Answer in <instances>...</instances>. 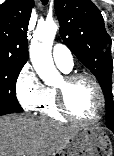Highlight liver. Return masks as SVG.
<instances>
[{"label": "liver", "mask_w": 114, "mask_h": 156, "mask_svg": "<svg viewBox=\"0 0 114 156\" xmlns=\"http://www.w3.org/2000/svg\"><path fill=\"white\" fill-rule=\"evenodd\" d=\"M79 128L27 115L0 117V156H51Z\"/></svg>", "instance_id": "liver-1"}]
</instances>
